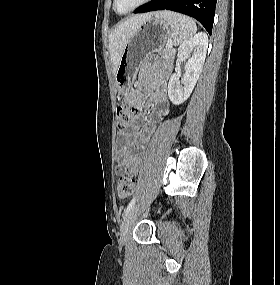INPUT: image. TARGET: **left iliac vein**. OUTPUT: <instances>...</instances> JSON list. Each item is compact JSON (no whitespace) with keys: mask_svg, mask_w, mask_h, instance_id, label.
I'll list each match as a JSON object with an SVG mask.
<instances>
[{"mask_svg":"<svg viewBox=\"0 0 280 285\" xmlns=\"http://www.w3.org/2000/svg\"><path fill=\"white\" fill-rule=\"evenodd\" d=\"M138 210H139L138 206H133L132 209L126 215V218L120 227L121 241L123 243L126 242L129 236L132 224L134 223Z\"/></svg>","mask_w":280,"mask_h":285,"instance_id":"obj_1","label":"left iliac vein"}]
</instances>
